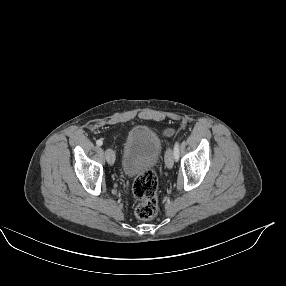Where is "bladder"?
Segmentation results:
<instances>
[{"label": "bladder", "mask_w": 286, "mask_h": 286, "mask_svg": "<svg viewBox=\"0 0 286 286\" xmlns=\"http://www.w3.org/2000/svg\"><path fill=\"white\" fill-rule=\"evenodd\" d=\"M161 151V139L152 128H132L122 146L120 167L123 175L133 179L152 169L159 163Z\"/></svg>", "instance_id": "obj_1"}]
</instances>
